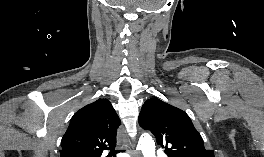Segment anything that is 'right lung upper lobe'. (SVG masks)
Here are the masks:
<instances>
[{
	"label": "right lung upper lobe",
	"instance_id": "right-lung-upper-lobe-1",
	"mask_svg": "<svg viewBox=\"0 0 264 157\" xmlns=\"http://www.w3.org/2000/svg\"><path fill=\"white\" fill-rule=\"evenodd\" d=\"M120 120L107 99H98L78 110L62 138L60 157H101L116 146Z\"/></svg>",
	"mask_w": 264,
	"mask_h": 157
}]
</instances>
